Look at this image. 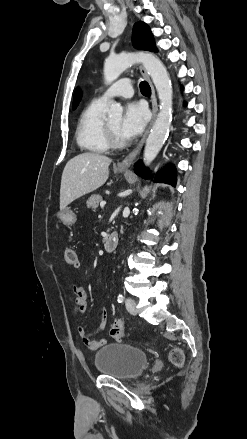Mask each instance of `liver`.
<instances>
[{
  "label": "liver",
  "instance_id": "liver-1",
  "mask_svg": "<svg viewBox=\"0 0 247 439\" xmlns=\"http://www.w3.org/2000/svg\"><path fill=\"white\" fill-rule=\"evenodd\" d=\"M111 162V158L92 152L70 159L61 178L60 210L77 198L101 187L108 179Z\"/></svg>",
  "mask_w": 247,
  "mask_h": 439
}]
</instances>
